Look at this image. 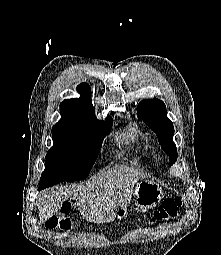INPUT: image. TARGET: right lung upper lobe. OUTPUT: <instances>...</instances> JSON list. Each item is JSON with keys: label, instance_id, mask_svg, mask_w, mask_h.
I'll list each match as a JSON object with an SVG mask.
<instances>
[{"label": "right lung upper lobe", "instance_id": "right-lung-upper-lobe-1", "mask_svg": "<svg viewBox=\"0 0 221 255\" xmlns=\"http://www.w3.org/2000/svg\"><path fill=\"white\" fill-rule=\"evenodd\" d=\"M77 91L81 95L80 98L67 99L60 104L61 119L56 125L95 130L99 120L94 117L91 88L87 83H81Z\"/></svg>", "mask_w": 221, "mask_h": 255}]
</instances>
